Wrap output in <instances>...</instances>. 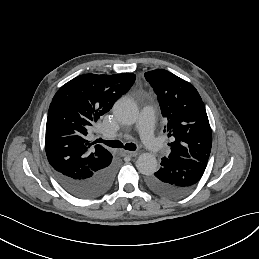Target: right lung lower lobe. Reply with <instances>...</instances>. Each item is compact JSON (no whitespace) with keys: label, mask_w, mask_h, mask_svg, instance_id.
<instances>
[{"label":"right lung lower lobe","mask_w":259,"mask_h":259,"mask_svg":"<svg viewBox=\"0 0 259 259\" xmlns=\"http://www.w3.org/2000/svg\"><path fill=\"white\" fill-rule=\"evenodd\" d=\"M53 172L57 181L67 192L77 198L92 199L100 197L110 189L115 175V166L110 164L86 179L71 178Z\"/></svg>","instance_id":"obj_1"}]
</instances>
